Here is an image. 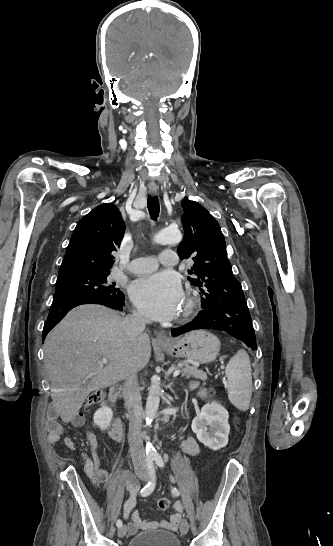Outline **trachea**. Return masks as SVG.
<instances>
[{"label":"trachea","mask_w":333,"mask_h":546,"mask_svg":"<svg viewBox=\"0 0 333 546\" xmlns=\"http://www.w3.org/2000/svg\"><path fill=\"white\" fill-rule=\"evenodd\" d=\"M148 211L153 220H156L160 211L159 199L157 196H148L147 200Z\"/></svg>","instance_id":"1"}]
</instances>
